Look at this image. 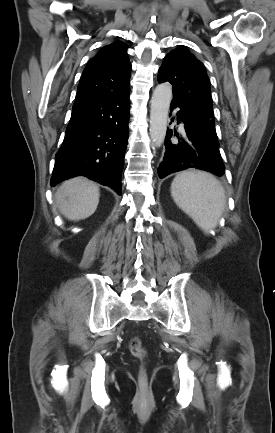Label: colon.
Masks as SVG:
<instances>
[{"label": "colon", "instance_id": "obj_1", "mask_svg": "<svg viewBox=\"0 0 275 433\" xmlns=\"http://www.w3.org/2000/svg\"><path fill=\"white\" fill-rule=\"evenodd\" d=\"M129 350L130 353L141 362H143L147 356L146 348L138 338L131 339L129 343ZM138 380L140 387L144 389L147 384V374L143 366H141L139 369Z\"/></svg>", "mask_w": 275, "mask_h": 433}]
</instances>
